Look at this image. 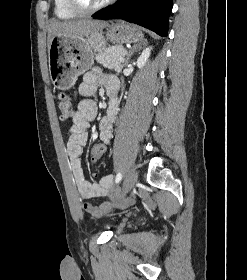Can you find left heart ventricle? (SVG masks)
Wrapping results in <instances>:
<instances>
[{
	"label": "left heart ventricle",
	"mask_w": 247,
	"mask_h": 280,
	"mask_svg": "<svg viewBox=\"0 0 247 280\" xmlns=\"http://www.w3.org/2000/svg\"><path fill=\"white\" fill-rule=\"evenodd\" d=\"M103 1L104 0H79V2L86 7H94Z\"/></svg>",
	"instance_id": "obj_1"
}]
</instances>
